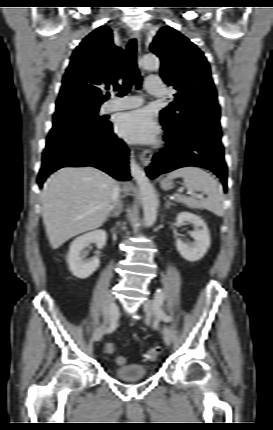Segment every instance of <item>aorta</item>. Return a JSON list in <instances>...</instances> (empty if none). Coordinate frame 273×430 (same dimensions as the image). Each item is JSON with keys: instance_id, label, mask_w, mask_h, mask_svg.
Here are the masks:
<instances>
[{"instance_id": "obj_1", "label": "aorta", "mask_w": 273, "mask_h": 430, "mask_svg": "<svg viewBox=\"0 0 273 430\" xmlns=\"http://www.w3.org/2000/svg\"><path fill=\"white\" fill-rule=\"evenodd\" d=\"M141 64L146 70L156 71L159 69V59L155 54L145 55L141 60ZM130 170L141 191L145 225L152 226L157 218L159 205L157 195L144 171L136 163L134 156L130 157Z\"/></svg>"}]
</instances>
